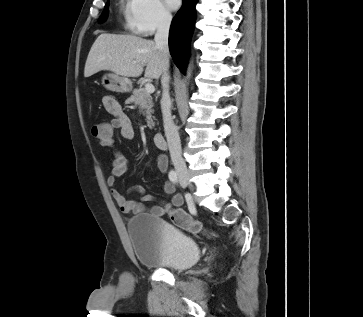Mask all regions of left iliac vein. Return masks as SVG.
Returning <instances> with one entry per match:
<instances>
[{
    "label": "left iliac vein",
    "mask_w": 363,
    "mask_h": 317,
    "mask_svg": "<svg viewBox=\"0 0 363 317\" xmlns=\"http://www.w3.org/2000/svg\"><path fill=\"white\" fill-rule=\"evenodd\" d=\"M180 184L182 187H186V184L180 180Z\"/></svg>",
    "instance_id": "1"
}]
</instances>
